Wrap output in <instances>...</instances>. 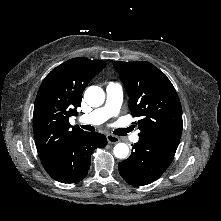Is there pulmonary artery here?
Wrapping results in <instances>:
<instances>
[{"label": "pulmonary artery", "mask_w": 221, "mask_h": 221, "mask_svg": "<svg viewBox=\"0 0 221 221\" xmlns=\"http://www.w3.org/2000/svg\"><path fill=\"white\" fill-rule=\"evenodd\" d=\"M123 98V89L119 83H109L106 87V102L105 104L93 110L87 115L80 118V121L87 124L99 125L113 116H117L120 111ZM132 141L137 142L139 136L134 134Z\"/></svg>", "instance_id": "1"}]
</instances>
